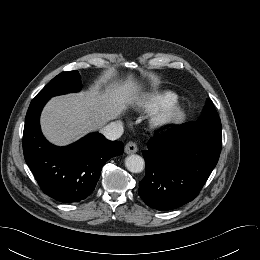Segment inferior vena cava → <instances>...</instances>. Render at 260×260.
I'll list each match as a JSON object with an SVG mask.
<instances>
[{
    "label": "inferior vena cava",
    "mask_w": 260,
    "mask_h": 260,
    "mask_svg": "<svg viewBox=\"0 0 260 260\" xmlns=\"http://www.w3.org/2000/svg\"><path fill=\"white\" fill-rule=\"evenodd\" d=\"M123 124L119 121L111 122L101 129V134L108 140H117L123 134Z\"/></svg>",
    "instance_id": "1"
}]
</instances>
